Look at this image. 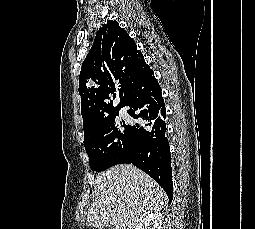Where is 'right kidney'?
<instances>
[{
	"instance_id": "right-kidney-1",
	"label": "right kidney",
	"mask_w": 255,
	"mask_h": 229,
	"mask_svg": "<svg viewBox=\"0 0 255 229\" xmlns=\"http://www.w3.org/2000/svg\"><path fill=\"white\" fill-rule=\"evenodd\" d=\"M161 219L162 214L159 211H155L143 218L136 226V229H162Z\"/></svg>"
}]
</instances>
